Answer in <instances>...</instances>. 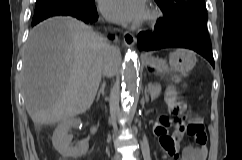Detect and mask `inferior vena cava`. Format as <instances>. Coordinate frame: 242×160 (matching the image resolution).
I'll return each instance as SVG.
<instances>
[{
  "instance_id": "602c4592",
  "label": "inferior vena cava",
  "mask_w": 242,
  "mask_h": 160,
  "mask_svg": "<svg viewBox=\"0 0 242 160\" xmlns=\"http://www.w3.org/2000/svg\"><path fill=\"white\" fill-rule=\"evenodd\" d=\"M105 48L108 58L104 62L103 68H98V73H106V77H113V73H118L116 63L121 59L120 50L118 47L111 46L108 42H105Z\"/></svg>"
}]
</instances>
